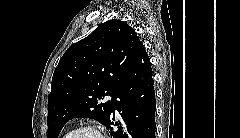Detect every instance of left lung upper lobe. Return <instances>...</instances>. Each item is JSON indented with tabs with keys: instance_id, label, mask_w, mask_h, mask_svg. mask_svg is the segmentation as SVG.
I'll return each mask as SVG.
<instances>
[{
	"instance_id": "obj_1",
	"label": "left lung upper lobe",
	"mask_w": 240,
	"mask_h": 138,
	"mask_svg": "<svg viewBox=\"0 0 240 138\" xmlns=\"http://www.w3.org/2000/svg\"><path fill=\"white\" fill-rule=\"evenodd\" d=\"M143 46L124 21L109 20L70 46L56 67L48 96V138H56L67 121L91 117L105 125L112 99ZM105 96L111 101L100 102Z\"/></svg>"
}]
</instances>
